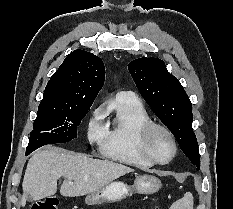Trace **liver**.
<instances>
[{
  "label": "liver",
  "instance_id": "1",
  "mask_svg": "<svg viewBox=\"0 0 233 209\" xmlns=\"http://www.w3.org/2000/svg\"><path fill=\"white\" fill-rule=\"evenodd\" d=\"M134 169L109 160L89 158L59 149L38 150L31 156L25 171L21 205L28 198L41 200L54 195L57 180L64 177L60 194L65 197L84 196L103 188ZM73 182L70 184L69 182Z\"/></svg>",
  "mask_w": 233,
  "mask_h": 209
}]
</instances>
